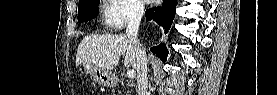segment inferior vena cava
Instances as JSON below:
<instances>
[{
  "mask_svg": "<svg viewBox=\"0 0 277 95\" xmlns=\"http://www.w3.org/2000/svg\"><path fill=\"white\" fill-rule=\"evenodd\" d=\"M143 14H144L143 4H135L132 7L129 20H128L126 34L128 38L132 41L136 51V56H137L136 69H137L138 95H149L146 52L137 38L139 25Z\"/></svg>",
  "mask_w": 277,
  "mask_h": 95,
  "instance_id": "1",
  "label": "inferior vena cava"
}]
</instances>
